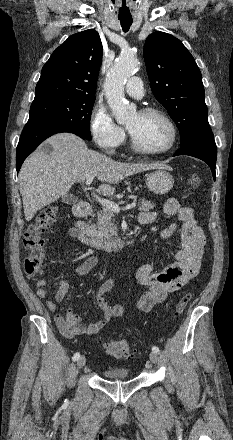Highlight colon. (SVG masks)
Returning a JSON list of instances; mask_svg holds the SVG:
<instances>
[{
    "mask_svg": "<svg viewBox=\"0 0 233 440\" xmlns=\"http://www.w3.org/2000/svg\"><path fill=\"white\" fill-rule=\"evenodd\" d=\"M201 184V178L193 174L189 178V185L192 188H198ZM58 210L55 207H45L37 215L35 222L29 226L24 234V248L27 251V257L24 261L25 273L30 277H36L42 273V266L45 257L44 241L42 234L57 220ZM192 298L191 293L184 294L177 302L174 309V317L180 316L186 309ZM99 346L105 352L117 359H131L135 350L125 339L99 340Z\"/></svg>",
    "mask_w": 233,
    "mask_h": 440,
    "instance_id": "1",
    "label": "colon"
}]
</instances>
